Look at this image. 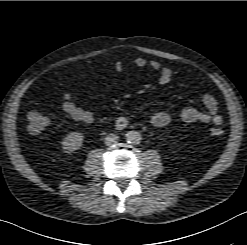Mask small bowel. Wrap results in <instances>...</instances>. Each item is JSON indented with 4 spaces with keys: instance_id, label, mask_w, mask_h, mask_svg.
Returning <instances> with one entry per match:
<instances>
[{
    "instance_id": "obj_1",
    "label": "small bowel",
    "mask_w": 247,
    "mask_h": 245,
    "mask_svg": "<svg viewBox=\"0 0 247 245\" xmlns=\"http://www.w3.org/2000/svg\"><path fill=\"white\" fill-rule=\"evenodd\" d=\"M137 67H150L152 70L159 72V82L162 85H167L172 80V70L168 67H163L158 61H147L144 58L137 57L134 60ZM115 70L117 73H122L123 65L121 62L115 63ZM202 103L206 111L196 109L194 107H186L181 110L179 117L185 123L201 122L213 123L220 125L222 117L218 114V102L211 94H205L202 98ZM62 109L75 121L91 124L94 121V115L91 111L79 107L72 101L70 92L62 94ZM171 121V116L166 112H156L151 117V123L155 127L167 126Z\"/></svg>"
}]
</instances>
